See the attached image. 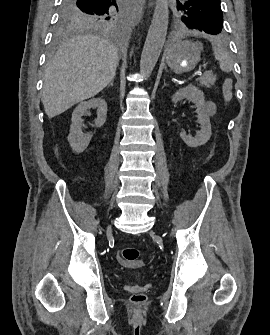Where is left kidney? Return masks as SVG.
Instances as JSON below:
<instances>
[{"mask_svg":"<svg viewBox=\"0 0 270 335\" xmlns=\"http://www.w3.org/2000/svg\"><path fill=\"white\" fill-rule=\"evenodd\" d=\"M191 100L193 104H195L197 110V118L198 124H200V132H197L195 138H192L190 134H186V132H180V138H182L183 142L190 146V148H197V146H203L206 144L208 140L211 138V124L210 118L207 114V110H205V102H204V94L201 90H198L196 86H186V88H181L178 90L174 96H172V102H180V100Z\"/></svg>","mask_w":270,"mask_h":335,"instance_id":"left-kidney-1","label":"left kidney"}]
</instances>
